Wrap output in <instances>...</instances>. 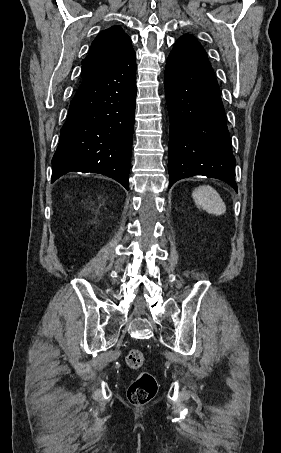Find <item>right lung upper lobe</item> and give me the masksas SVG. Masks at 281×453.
Wrapping results in <instances>:
<instances>
[{"label":"right lung upper lobe","mask_w":281,"mask_h":453,"mask_svg":"<svg viewBox=\"0 0 281 453\" xmlns=\"http://www.w3.org/2000/svg\"><path fill=\"white\" fill-rule=\"evenodd\" d=\"M134 52L130 37L120 26L103 30L82 60V78H91L112 69Z\"/></svg>","instance_id":"right-lung-upper-lobe-1"}]
</instances>
